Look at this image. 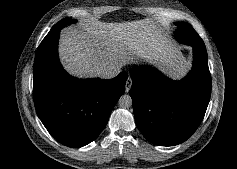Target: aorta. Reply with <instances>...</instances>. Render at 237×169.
<instances>
[{"label": "aorta", "mask_w": 237, "mask_h": 169, "mask_svg": "<svg viewBox=\"0 0 237 169\" xmlns=\"http://www.w3.org/2000/svg\"><path fill=\"white\" fill-rule=\"evenodd\" d=\"M118 103H119L120 107H122V108H129L132 106V98L129 95L124 94L120 97Z\"/></svg>", "instance_id": "aorta-1"}]
</instances>
